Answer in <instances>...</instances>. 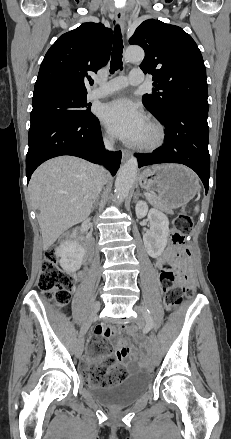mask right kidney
I'll return each instance as SVG.
<instances>
[{
	"instance_id": "obj_1",
	"label": "right kidney",
	"mask_w": 231,
	"mask_h": 439,
	"mask_svg": "<svg viewBox=\"0 0 231 439\" xmlns=\"http://www.w3.org/2000/svg\"><path fill=\"white\" fill-rule=\"evenodd\" d=\"M75 236V232H73ZM84 249L74 241H66L55 250L56 256L60 257L59 263L67 272L72 273L81 267Z\"/></svg>"
}]
</instances>
